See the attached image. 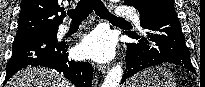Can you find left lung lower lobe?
Returning a JSON list of instances; mask_svg holds the SVG:
<instances>
[{"label":"left lung lower lobe","instance_id":"0a47b994","mask_svg":"<svg viewBox=\"0 0 205 87\" xmlns=\"http://www.w3.org/2000/svg\"><path fill=\"white\" fill-rule=\"evenodd\" d=\"M139 14L145 31L127 34L138 42L126 44V70L121 83L140 70L162 63H174L194 71L174 6L159 5Z\"/></svg>","mask_w":205,"mask_h":87}]
</instances>
